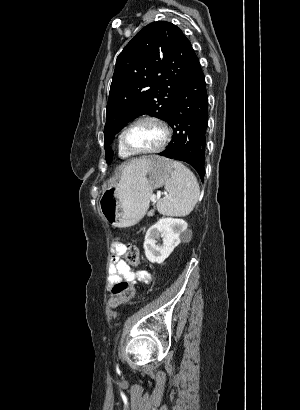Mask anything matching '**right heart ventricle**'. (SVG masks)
<instances>
[{
	"label": "right heart ventricle",
	"mask_w": 300,
	"mask_h": 410,
	"mask_svg": "<svg viewBox=\"0 0 300 410\" xmlns=\"http://www.w3.org/2000/svg\"><path fill=\"white\" fill-rule=\"evenodd\" d=\"M118 154L121 158L123 159H127L132 157L133 155H131L126 149H124L120 143V136H119V140H118Z\"/></svg>",
	"instance_id": "1"
}]
</instances>
